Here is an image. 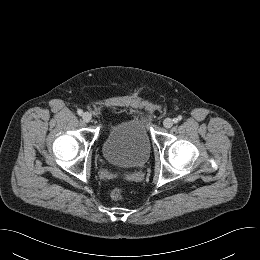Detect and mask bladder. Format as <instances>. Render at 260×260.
<instances>
[{
	"label": "bladder",
	"mask_w": 260,
	"mask_h": 260,
	"mask_svg": "<svg viewBox=\"0 0 260 260\" xmlns=\"http://www.w3.org/2000/svg\"><path fill=\"white\" fill-rule=\"evenodd\" d=\"M151 140L145 121L132 116L112 124L102 145V156L110 164L125 168L144 165L150 156Z\"/></svg>",
	"instance_id": "1"
}]
</instances>
